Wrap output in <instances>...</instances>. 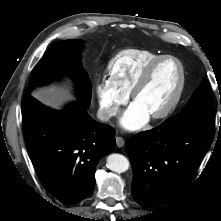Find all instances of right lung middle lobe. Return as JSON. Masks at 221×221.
Here are the masks:
<instances>
[{
	"label": "right lung middle lobe",
	"instance_id": "1",
	"mask_svg": "<svg viewBox=\"0 0 221 221\" xmlns=\"http://www.w3.org/2000/svg\"><path fill=\"white\" fill-rule=\"evenodd\" d=\"M81 49V40L77 39L52 43L41 62L34 69L30 77L29 88L46 84L59 78L63 73H70L75 80L78 100L89 105L91 83L80 62Z\"/></svg>",
	"mask_w": 221,
	"mask_h": 221
}]
</instances>
